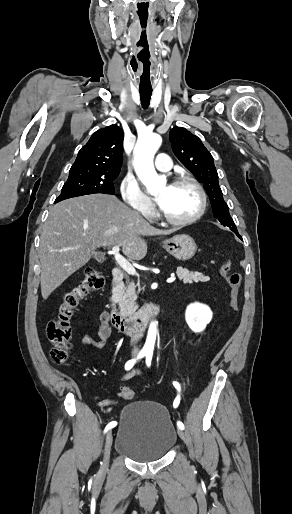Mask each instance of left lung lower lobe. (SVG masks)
<instances>
[{
    "label": "left lung lower lobe",
    "instance_id": "obj_1",
    "mask_svg": "<svg viewBox=\"0 0 292 514\" xmlns=\"http://www.w3.org/2000/svg\"><path fill=\"white\" fill-rule=\"evenodd\" d=\"M235 234H236L240 239H242V238H241V236H240L238 233H235Z\"/></svg>",
    "mask_w": 292,
    "mask_h": 514
}]
</instances>
